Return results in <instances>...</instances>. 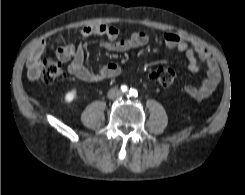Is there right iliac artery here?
<instances>
[{
    "label": "right iliac artery",
    "instance_id": "82829eb1",
    "mask_svg": "<svg viewBox=\"0 0 245 195\" xmlns=\"http://www.w3.org/2000/svg\"><path fill=\"white\" fill-rule=\"evenodd\" d=\"M121 91H122V92H127V91H128L127 86H126V85H122V86H121Z\"/></svg>",
    "mask_w": 245,
    "mask_h": 195
}]
</instances>
